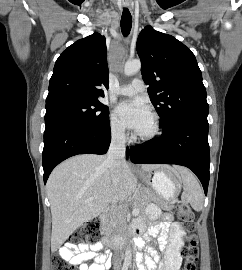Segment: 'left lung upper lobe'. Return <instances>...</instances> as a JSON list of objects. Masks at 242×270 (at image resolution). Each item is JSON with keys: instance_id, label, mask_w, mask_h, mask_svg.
I'll return each instance as SVG.
<instances>
[{"instance_id": "obj_1", "label": "left lung upper lobe", "mask_w": 242, "mask_h": 270, "mask_svg": "<svg viewBox=\"0 0 242 270\" xmlns=\"http://www.w3.org/2000/svg\"><path fill=\"white\" fill-rule=\"evenodd\" d=\"M142 78L160 116V128L188 116L208 115L201 70L188 47L171 35L145 27L137 40Z\"/></svg>"}]
</instances>
